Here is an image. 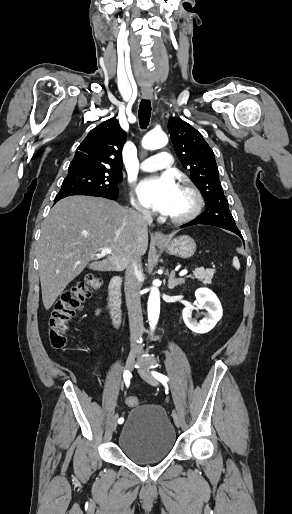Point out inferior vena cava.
I'll return each instance as SVG.
<instances>
[{"label": "inferior vena cava", "mask_w": 292, "mask_h": 514, "mask_svg": "<svg viewBox=\"0 0 292 514\" xmlns=\"http://www.w3.org/2000/svg\"><path fill=\"white\" fill-rule=\"evenodd\" d=\"M142 218V228L147 232V226L152 224L151 212L148 210H139ZM142 274V262L141 256H135L131 264H129L125 274V298L128 308L130 336H131V352L140 354L141 348H135L134 340L140 338L143 334V318L140 302V290L141 284L139 282V276Z\"/></svg>", "instance_id": "inferior-vena-cava-1"}]
</instances>
